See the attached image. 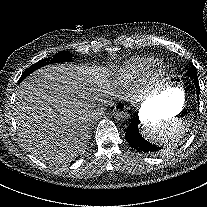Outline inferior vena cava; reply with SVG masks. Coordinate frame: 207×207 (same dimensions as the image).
<instances>
[{
  "instance_id": "obj_1",
  "label": "inferior vena cava",
  "mask_w": 207,
  "mask_h": 207,
  "mask_svg": "<svg viewBox=\"0 0 207 207\" xmlns=\"http://www.w3.org/2000/svg\"><path fill=\"white\" fill-rule=\"evenodd\" d=\"M101 116H94L93 114V119H99Z\"/></svg>"
}]
</instances>
